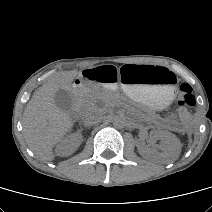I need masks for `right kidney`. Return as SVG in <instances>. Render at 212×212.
Segmentation results:
<instances>
[{
    "label": "right kidney",
    "mask_w": 212,
    "mask_h": 212,
    "mask_svg": "<svg viewBox=\"0 0 212 212\" xmlns=\"http://www.w3.org/2000/svg\"><path fill=\"white\" fill-rule=\"evenodd\" d=\"M83 137L81 133H72L65 137L56 147V155L58 156H70L80 146Z\"/></svg>",
    "instance_id": "obj_1"
}]
</instances>
